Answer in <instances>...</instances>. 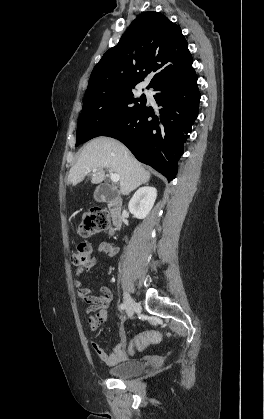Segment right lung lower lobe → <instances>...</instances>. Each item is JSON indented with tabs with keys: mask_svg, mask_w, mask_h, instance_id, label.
<instances>
[{
	"mask_svg": "<svg viewBox=\"0 0 264 419\" xmlns=\"http://www.w3.org/2000/svg\"><path fill=\"white\" fill-rule=\"evenodd\" d=\"M158 110L146 103L103 136L124 143L135 157L162 173L168 181L177 174V162L198 116L200 93L195 72L156 84Z\"/></svg>",
	"mask_w": 264,
	"mask_h": 419,
	"instance_id": "obj_1",
	"label": "right lung lower lobe"
}]
</instances>
